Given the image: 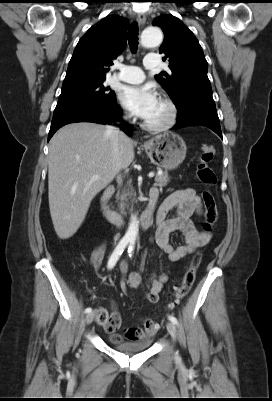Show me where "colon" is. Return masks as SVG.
I'll list each match as a JSON object with an SVG mask.
<instances>
[{
  "label": "colon",
  "instance_id": "colon-1",
  "mask_svg": "<svg viewBox=\"0 0 272 401\" xmlns=\"http://www.w3.org/2000/svg\"><path fill=\"white\" fill-rule=\"evenodd\" d=\"M215 156V148L211 145H204L201 148V155L196 167L197 176L204 186L202 191V201L204 206V229L210 231L211 227L217 220V204L215 195L212 188L217 183V176L215 171L210 166ZM201 255L197 253L191 262V265L185 273L181 284L176 288L173 293V300L169 303L168 309H172L182 298H184L190 291L194 279L196 269L200 263ZM98 322L105 326L112 320V315L105 309L99 310L97 313ZM152 321V320H147ZM154 322V321H153ZM157 323V322H156Z\"/></svg>",
  "mask_w": 272,
  "mask_h": 401
}]
</instances>
